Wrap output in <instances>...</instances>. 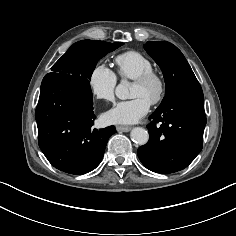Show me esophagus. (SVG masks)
Returning <instances> with one entry per match:
<instances>
[{"mask_svg": "<svg viewBox=\"0 0 236 236\" xmlns=\"http://www.w3.org/2000/svg\"><path fill=\"white\" fill-rule=\"evenodd\" d=\"M116 130L118 132H129L131 130L130 126H117Z\"/></svg>", "mask_w": 236, "mask_h": 236, "instance_id": "34e87169", "label": "esophagus"}]
</instances>
